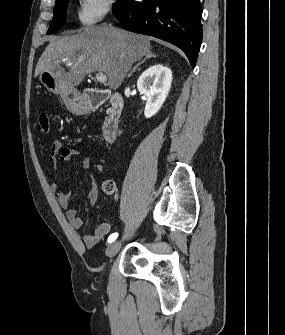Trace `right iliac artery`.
<instances>
[{
  "label": "right iliac artery",
  "mask_w": 285,
  "mask_h": 335,
  "mask_svg": "<svg viewBox=\"0 0 285 335\" xmlns=\"http://www.w3.org/2000/svg\"><path fill=\"white\" fill-rule=\"evenodd\" d=\"M117 237H118V233H113V234H111V235L109 236V238H108V242H109V243H112L113 241L116 240Z\"/></svg>",
  "instance_id": "82829eb1"
}]
</instances>
